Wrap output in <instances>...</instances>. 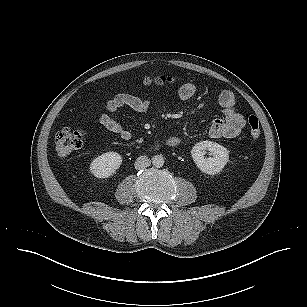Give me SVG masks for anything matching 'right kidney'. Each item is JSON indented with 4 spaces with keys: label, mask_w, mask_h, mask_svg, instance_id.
<instances>
[{
    "label": "right kidney",
    "mask_w": 307,
    "mask_h": 307,
    "mask_svg": "<svg viewBox=\"0 0 307 307\" xmlns=\"http://www.w3.org/2000/svg\"><path fill=\"white\" fill-rule=\"evenodd\" d=\"M121 164V155L110 151L96 157L90 164V171L97 178H108L119 169Z\"/></svg>",
    "instance_id": "ca27d5eb"
}]
</instances>
